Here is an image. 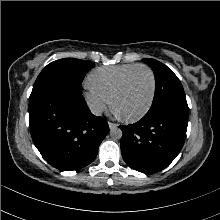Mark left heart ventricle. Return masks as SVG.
I'll return each mask as SVG.
<instances>
[{
	"instance_id": "1",
	"label": "left heart ventricle",
	"mask_w": 220,
	"mask_h": 220,
	"mask_svg": "<svg viewBox=\"0 0 220 220\" xmlns=\"http://www.w3.org/2000/svg\"><path fill=\"white\" fill-rule=\"evenodd\" d=\"M152 91V79L146 69L136 70L117 97L115 109L122 116L139 114L147 105Z\"/></svg>"
}]
</instances>
